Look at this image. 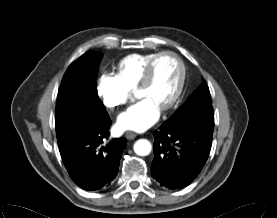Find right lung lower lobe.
I'll use <instances>...</instances> for the list:
<instances>
[{
	"label": "right lung lower lobe",
	"instance_id": "obj_1",
	"mask_svg": "<svg viewBox=\"0 0 277 218\" xmlns=\"http://www.w3.org/2000/svg\"><path fill=\"white\" fill-rule=\"evenodd\" d=\"M109 116L93 130L79 136L60 150L63 163L72 180L82 189L95 191L108 187L118 173L126 139L104 143L111 126Z\"/></svg>",
	"mask_w": 277,
	"mask_h": 218
}]
</instances>
